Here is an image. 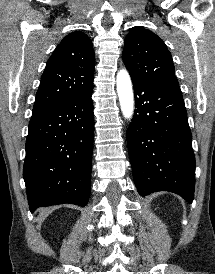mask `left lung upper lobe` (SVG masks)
Listing matches in <instances>:
<instances>
[{
    "label": "left lung upper lobe",
    "mask_w": 215,
    "mask_h": 274,
    "mask_svg": "<svg viewBox=\"0 0 215 274\" xmlns=\"http://www.w3.org/2000/svg\"><path fill=\"white\" fill-rule=\"evenodd\" d=\"M122 57L131 78L182 97L172 56L153 32L141 26L133 27L125 38Z\"/></svg>",
    "instance_id": "1"
}]
</instances>
